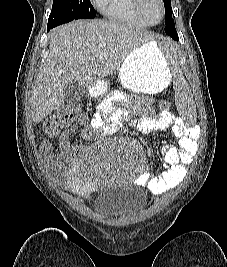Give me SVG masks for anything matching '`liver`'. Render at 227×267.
Instances as JSON below:
<instances>
[{
  "mask_svg": "<svg viewBox=\"0 0 227 267\" xmlns=\"http://www.w3.org/2000/svg\"><path fill=\"white\" fill-rule=\"evenodd\" d=\"M146 42L154 43L149 32L116 21L78 20L55 28L50 34L49 55L32 87L33 122L40 123L64 103L67 85L77 82L89 87L112 75Z\"/></svg>",
  "mask_w": 227,
  "mask_h": 267,
  "instance_id": "liver-1",
  "label": "liver"
}]
</instances>
